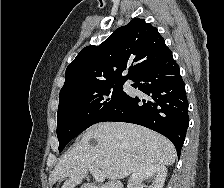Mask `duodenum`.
Masks as SVG:
<instances>
[{
    "instance_id": "1",
    "label": "duodenum",
    "mask_w": 224,
    "mask_h": 188,
    "mask_svg": "<svg viewBox=\"0 0 224 188\" xmlns=\"http://www.w3.org/2000/svg\"><path fill=\"white\" fill-rule=\"evenodd\" d=\"M84 188H102L101 186L93 185V184H87L84 186Z\"/></svg>"
}]
</instances>
